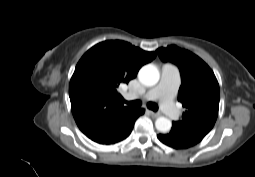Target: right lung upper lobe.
I'll return each instance as SVG.
<instances>
[{
  "label": "right lung upper lobe",
  "mask_w": 255,
  "mask_h": 177,
  "mask_svg": "<svg viewBox=\"0 0 255 177\" xmlns=\"http://www.w3.org/2000/svg\"><path fill=\"white\" fill-rule=\"evenodd\" d=\"M155 57V52L120 40L90 48L79 60L69 85L71 109L80 130L126 108L119 87Z\"/></svg>",
  "instance_id": "cb5924a9"
}]
</instances>
